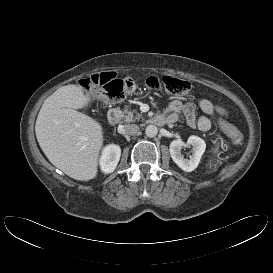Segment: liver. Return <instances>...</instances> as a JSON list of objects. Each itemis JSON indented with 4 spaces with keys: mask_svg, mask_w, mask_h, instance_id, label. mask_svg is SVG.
<instances>
[{
    "mask_svg": "<svg viewBox=\"0 0 273 273\" xmlns=\"http://www.w3.org/2000/svg\"><path fill=\"white\" fill-rule=\"evenodd\" d=\"M91 102L80 85L60 87L43 103L35 125L37 141L48 160L69 177H96L104 136L102 126L78 112Z\"/></svg>",
    "mask_w": 273,
    "mask_h": 273,
    "instance_id": "obj_1",
    "label": "liver"
}]
</instances>
